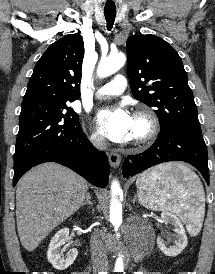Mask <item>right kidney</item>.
<instances>
[{
  "instance_id": "ca27d5eb",
  "label": "right kidney",
  "mask_w": 215,
  "mask_h": 274,
  "mask_svg": "<svg viewBox=\"0 0 215 274\" xmlns=\"http://www.w3.org/2000/svg\"><path fill=\"white\" fill-rule=\"evenodd\" d=\"M69 236V229L63 228L59 230L51 239L47 251L48 261L57 270H65L73 264L78 255V251L72 248L69 253L64 256L61 247L66 243Z\"/></svg>"
}]
</instances>
